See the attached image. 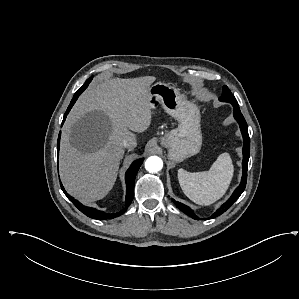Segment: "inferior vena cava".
<instances>
[{
  "label": "inferior vena cava",
  "mask_w": 299,
  "mask_h": 299,
  "mask_svg": "<svg viewBox=\"0 0 299 299\" xmlns=\"http://www.w3.org/2000/svg\"><path fill=\"white\" fill-rule=\"evenodd\" d=\"M137 145L136 137L134 134L128 135L126 138L122 141V146L124 148H134Z\"/></svg>",
  "instance_id": "obj_1"
}]
</instances>
